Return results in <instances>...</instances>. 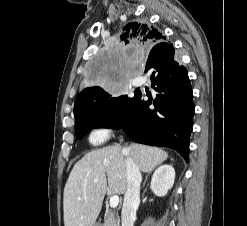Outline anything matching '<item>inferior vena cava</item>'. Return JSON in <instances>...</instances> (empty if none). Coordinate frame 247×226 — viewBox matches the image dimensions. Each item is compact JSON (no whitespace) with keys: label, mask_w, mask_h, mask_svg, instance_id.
I'll use <instances>...</instances> for the list:
<instances>
[{"label":"inferior vena cava","mask_w":247,"mask_h":226,"mask_svg":"<svg viewBox=\"0 0 247 226\" xmlns=\"http://www.w3.org/2000/svg\"><path fill=\"white\" fill-rule=\"evenodd\" d=\"M123 154L127 156V189L124 195L121 212V225L133 226L136 217V211L140 203V184L142 181V176L137 165L134 163L132 158L129 157V153L124 150Z\"/></svg>","instance_id":"obj_1"}]
</instances>
